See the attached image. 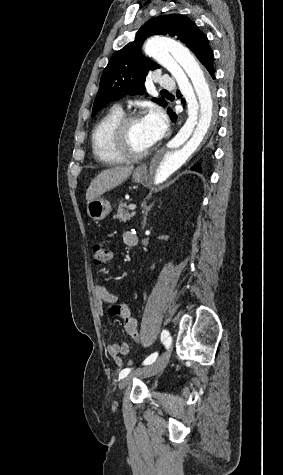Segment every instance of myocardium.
<instances>
[{
  "label": "myocardium",
  "instance_id": "1",
  "mask_svg": "<svg viewBox=\"0 0 283 475\" xmlns=\"http://www.w3.org/2000/svg\"><path fill=\"white\" fill-rule=\"evenodd\" d=\"M141 117L140 112L134 111L126 113L112 128L108 137L109 143L127 144L131 125ZM154 150V145L147 151L140 154H131L127 157H112L107 155L102 149L99 150V157L104 162H133L138 163L148 158Z\"/></svg>",
  "mask_w": 283,
  "mask_h": 475
}]
</instances>
